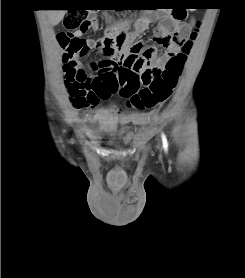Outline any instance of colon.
Masks as SVG:
<instances>
[{
  "label": "colon",
  "mask_w": 245,
  "mask_h": 278,
  "mask_svg": "<svg viewBox=\"0 0 245 278\" xmlns=\"http://www.w3.org/2000/svg\"><path fill=\"white\" fill-rule=\"evenodd\" d=\"M194 9V8H193ZM85 9H77L66 14L63 25L64 32L58 36V43L64 50V73L67 82L69 105L72 109L80 111L93 107L104 92H96L97 84L86 72L76 68L77 59L85 55L90 47L84 38L74 37L76 31H88L94 28V23L86 18ZM175 18L184 17L182 12H175ZM191 37V39H193ZM191 39L176 35L172 43L179 48V52L166 59L163 69L148 66L141 73L129 72L119 77L109 79V92L119 94L127 100L129 107L143 111L153 109L165 103L171 97L183 71L184 61L187 57ZM118 44L126 42L124 33L116 35ZM131 51H141L140 44L130 46ZM149 55V52H143ZM157 59H160L157 56ZM144 86L140 88V84Z\"/></svg>",
  "instance_id": "obj_1"
}]
</instances>
